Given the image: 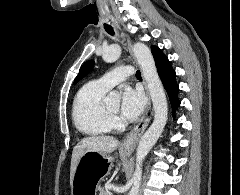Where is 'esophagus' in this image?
Listing matches in <instances>:
<instances>
[{"mask_svg":"<svg viewBox=\"0 0 240 195\" xmlns=\"http://www.w3.org/2000/svg\"><path fill=\"white\" fill-rule=\"evenodd\" d=\"M115 27L119 28V25L115 24ZM127 43H128L129 52L133 56L132 45H131V42H130L129 39H127ZM133 58L135 60L134 56H133ZM145 89H146V93H147V97H148V103H147V106L145 108V112H144L142 118L140 119V122L124 138L122 146H121L122 148H134V147H136L141 135L144 133V131L146 130V127L148 126V124L150 122V115L152 114V112L150 110L151 99H150V95H149V92L147 90L146 85H145Z\"/></svg>","mask_w":240,"mask_h":195,"instance_id":"obj_1","label":"esophagus"}]
</instances>
